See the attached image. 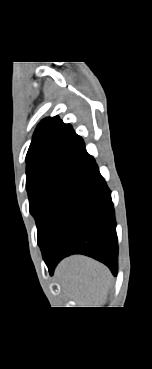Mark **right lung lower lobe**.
Wrapping results in <instances>:
<instances>
[{
    "instance_id": "1",
    "label": "right lung lower lobe",
    "mask_w": 152,
    "mask_h": 369,
    "mask_svg": "<svg viewBox=\"0 0 152 369\" xmlns=\"http://www.w3.org/2000/svg\"><path fill=\"white\" fill-rule=\"evenodd\" d=\"M39 246L51 275L57 263L71 254L93 257L117 274L118 240L111 192L93 157L80 165L59 199Z\"/></svg>"
}]
</instances>
